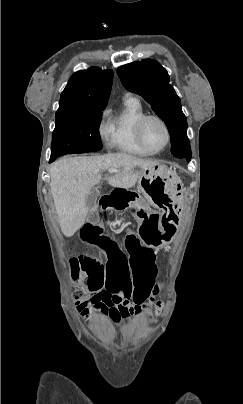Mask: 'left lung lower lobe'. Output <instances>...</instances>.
<instances>
[{
	"label": "left lung lower lobe",
	"mask_w": 243,
	"mask_h": 404,
	"mask_svg": "<svg viewBox=\"0 0 243 404\" xmlns=\"http://www.w3.org/2000/svg\"><path fill=\"white\" fill-rule=\"evenodd\" d=\"M178 158L185 159L187 162H189L191 160V157H178Z\"/></svg>",
	"instance_id": "0a47b994"
}]
</instances>
